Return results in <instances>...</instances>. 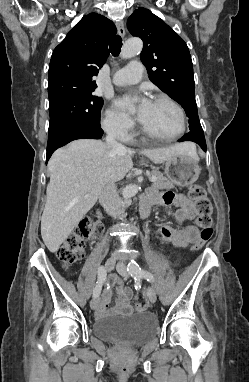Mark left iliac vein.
<instances>
[{
	"mask_svg": "<svg viewBox=\"0 0 249 382\" xmlns=\"http://www.w3.org/2000/svg\"><path fill=\"white\" fill-rule=\"evenodd\" d=\"M116 269H117L118 273H119L122 277H124L125 279H127V278L129 277V274H128V272H127V268H126L125 263H123V262H119V263L117 264V266H116ZM147 297H148V299H149V301H150L151 303H155L156 300H157L156 291H155V289H154L153 287H151V286L147 288Z\"/></svg>",
	"mask_w": 249,
	"mask_h": 382,
	"instance_id": "obj_1",
	"label": "left iliac vein"
}]
</instances>
